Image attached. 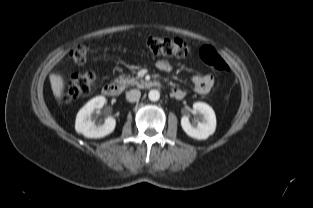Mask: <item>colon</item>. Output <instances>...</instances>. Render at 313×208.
<instances>
[{"mask_svg":"<svg viewBox=\"0 0 313 208\" xmlns=\"http://www.w3.org/2000/svg\"><path fill=\"white\" fill-rule=\"evenodd\" d=\"M145 45L147 49L155 55L175 56L184 58L191 54V49L184 41L179 39H169L160 37H149ZM89 47L86 44L75 46L70 57L76 65H83L88 56ZM202 60L215 70L228 72L229 66L220 54L211 46H203L200 49ZM96 75L94 72H84L72 76L65 85L63 100H72L88 96L94 89Z\"/></svg>","mask_w":313,"mask_h":208,"instance_id":"obj_1","label":"colon"}]
</instances>
